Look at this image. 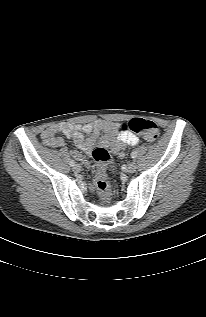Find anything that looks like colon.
Here are the masks:
<instances>
[{
	"mask_svg": "<svg viewBox=\"0 0 206 317\" xmlns=\"http://www.w3.org/2000/svg\"><path fill=\"white\" fill-rule=\"evenodd\" d=\"M122 131H132L141 135L145 140L154 142L159 137V128L154 121L136 117L132 118L126 124L121 126ZM96 163V172L94 177L95 186L105 199L109 197V183L107 181L106 168L110 163V154L103 148L98 147L92 152Z\"/></svg>",
	"mask_w": 206,
	"mask_h": 317,
	"instance_id": "colon-1",
	"label": "colon"
}]
</instances>
